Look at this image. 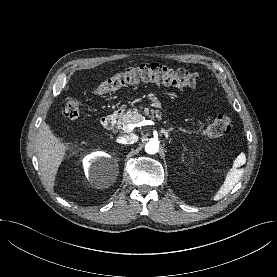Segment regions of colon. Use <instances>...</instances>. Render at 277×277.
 I'll list each match as a JSON object with an SVG mask.
<instances>
[{"mask_svg":"<svg viewBox=\"0 0 277 277\" xmlns=\"http://www.w3.org/2000/svg\"><path fill=\"white\" fill-rule=\"evenodd\" d=\"M142 82H153L159 85L178 88H194L198 82V75L183 69L174 70L160 64H147L106 79L94 89V93L104 94L127 85ZM63 114L68 119H77L80 115V103L78 100L73 98L68 99L64 105ZM231 127L232 119L230 115L223 112L213 121L202 126L199 131L203 136L215 138L228 133Z\"/></svg>","mask_w":277,"mask_h":277,"instance_id":"colon-1","label":"colon"}]
</instances>
